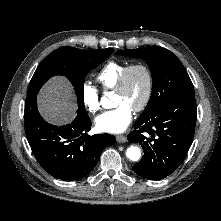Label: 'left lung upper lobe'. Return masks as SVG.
Wrapping results in <instances>:
<instances>
[{
    "mask_svg": "<svg viewBox=\"0 0 221 221\" xmlns=\"http://www.w3.org/2000/svg\"><path fill=\"white\" fill-rule=\"evenodd\" d=\"M116 53L146 60L151 70L152 94L140 117L148 115L157 106L178 99L195 97L193 84L183 64L171 51L158 46H149Z\"/></svg>",
    "mask_w": 221,
    "mask_h": 221,
    "instance_id": "1",
    "label": "left lung upper lobe"
}]
</instances>
